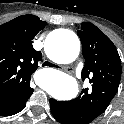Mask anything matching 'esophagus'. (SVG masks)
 <instances>
[{
    "instance_id": "obj_1",
    "label": "esophagus",
    "mask_w": 124,
    "mask_h": 124,
    "mask_svg": "<svg viewBox=\"0 0 124 124\" xmlns=\"http://www.w3.org/2000/svg\"><path fill=\"white\" fill-rule=\"evenodd\" d=\"M64 70L67 72V73H72L73 72V69L71 67H64Z\"/></svg>"
}]
</instances>
